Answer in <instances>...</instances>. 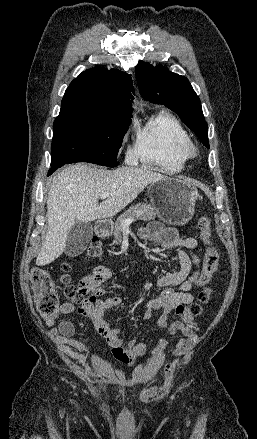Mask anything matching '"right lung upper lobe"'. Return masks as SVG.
Returning <instances> with one entry per match:
<instances>
[{
  "mask_svg": "<svg viewBox=\"0 0 257 439\" xmlns=\"http://www.w3.org/2000/svg\"><path fill=\"white\" fill-rule=\"evenodd\" d=\"M134 87L130 75L95 67L82 72L67 88L59 116L92 113L101 116L132 114Z\"/></svg>",
  "mask_w": 257,
  "mask_h": 439,
  "instance_id": "right-lung-upper-lobe-1",
  "label": "right lung upper lobe"
}]
</instances>
